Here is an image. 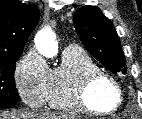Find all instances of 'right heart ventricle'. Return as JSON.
Segmentation results:
<instances>
[{
  "label": "right heart ventricle",
  "instance_id": "right-heart-ventricle-1",
  "mask_svg": "<svg viewBox=\"0 0 142 119\" xmlns=\"http://www.w3.org/2000/svg\"><path fill=\"white\" fill-rule=\"evenodd\" d=\"M96 70H99L98 66L83 49L77 46L65 48L60 64L50 71L45 102L56 110L80 112L71 98V89L82 75Z\"/></svg>",
  "mask_w": 142,
  "mask_h": 119
}]
</instances>
